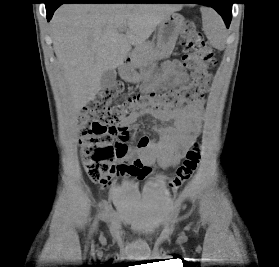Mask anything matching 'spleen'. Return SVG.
<instances>
[{
	"instance_id": "3e777b00",
	"label": "spleen",
	"mask_w": 279,
	"mask_h": 267,
	"mask_svg": "<svg viewBox=\"0 0 279 267\" xmlns=\"http://www.w3.org/2000/svg\"><path fill=\"white\" fill-rule=\"evenodd\" d=\"M203 30L210 43L220 49L224 45V25L218 14L211 8L201 7Z\"/></svg>"
}]
</instances>
